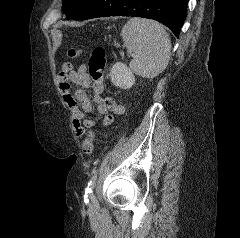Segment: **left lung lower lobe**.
<instances>
[{
	"instance_id": "obj_1",
	"label": "left lung lower lobe",
	"mask_w": 240,
	"mask_h": 238,
	"mask_svg": "<svg viewBox=\"0 0 240 238\" xmlns=\"http://www.w3.org/2000/svg\"><path fill=\"white\" fill-rule=\"evenodd\" d=\"M188 0H91L74 20L106 16L154 19L166 25L176 37L186 19Z\"/></svg>"
}]
</instances>
